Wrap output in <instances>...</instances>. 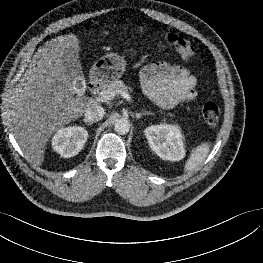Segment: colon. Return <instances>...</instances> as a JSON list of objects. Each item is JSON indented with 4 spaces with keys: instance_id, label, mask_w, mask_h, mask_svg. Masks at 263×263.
I'll return each mask as SVG.
<instances>
[{
    "instance_id": "obj_1",
    "label": "colon",
    "mask_w": 263,
    "mask_h": 263,
    "mask_svg": "<svg viewBox=\"0 0 263 263\" xmlns=\"http://www.w3.org/2000/svg\"><path fill=\"white\" fill-rule=\"evenodd\" d=\"M166 39L183 59L187 60L194 56V46L188 39L175 33L166 34ZM201 116L207 125L214 126L218 123L220 109L217 104L207 102L202 107Z\"/></svg>"
}]
</instances>
